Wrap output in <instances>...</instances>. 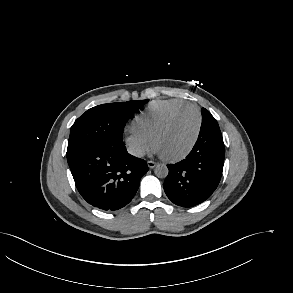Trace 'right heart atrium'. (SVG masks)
I'll return each mask as SVG.
<instances>
[{
  "label": "right heart atrium",
  "mask_w": 293,
  "mask_h": 293,
  "mask_svg": "<svg viewBox=\"0 0 293 293\" xmlns=\"http://www.w3.org/2000/svg\"><path fill=\"white\" fill-rule=\"evenodd\" d=\"M128 151L135 157H142L149 150L151 141L133 128L128 129L124 138Z\"/></svg>",
  "instance_id": "d8ad5b80"
}]
</instances>
